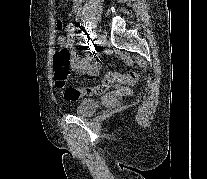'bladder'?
I'll return each mask as SVG.
<instances>
[{"instance_id":"bladder-1","label":"bladder","mask_w":207,"mask_h":179,"mask_svg":"<svg viewBox=\"0 0 207 179\" xmlns=\"http://www.w3.org/2000/svg\"><path fill=\"white\" fill-rule=\"evenodd\" d=\"M98 107V101L96 99H82L76 106V113L80 116H91Z\"/></svg>"}]
</instances>
